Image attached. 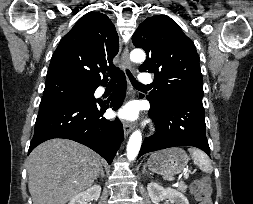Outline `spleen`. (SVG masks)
<instances>
[{
  "instance_id": "obj_1",
  "label": "spleen",
  "mask_w": 253,
  "mask_h": 204,
  "mask_svg": "<svg viewBox=\"0 0 253 204\" xmlns=\"http://www.w3.org/2000/svg\"><path fill=\"white\" fill-rule=\"evenodd\" d=\"M189 152L194 163L205 173L211 174L213 172V167L209 157L199 149L190 148ZM166 180H173V177L164 176Z\"/></svg>"
}]
</instances>
